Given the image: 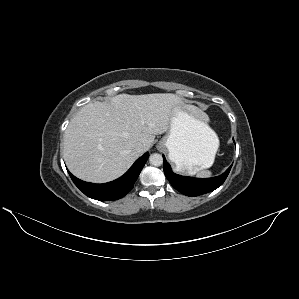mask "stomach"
Returning <instances> with one entry per match:
<instances>
[{
  "mask_svg": "<svg viewBox=\"0 0 299 299\" xmlns=\"http://www.w3.org/2000/svg\"><path fill=\"white\" fill-rule=\"evenodd\" d=\"M208 125L180 105L174 108L169 130L158 144L167 148L178 171L209 168L219 147V139Z\"/></svg>",
  "mask_w": 299,
  "mask_h": 299,
  "instance_id": "stomach-1",
  "label": "stomach"
}]
</instances>
